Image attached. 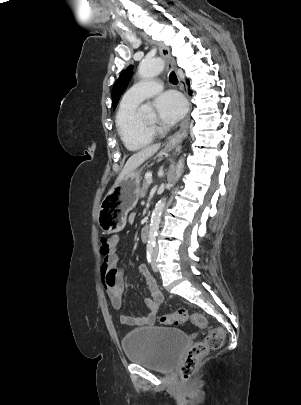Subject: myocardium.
<instances>
[{
    "label": "myocardium",
    "instance_id": "myocardium-1",
    "mask_svg": "<svg viewBox=\"0 0 301 405\" xmlns=\"http://www.w3.org/2000/svg\"><path fill=\"white\" fill-rule=\"evenodd\" d=\"M138 125L142 131L151 135H155L161 132V128L156 123L146 124L141 119L138 118Z\"/></svg>",
    "mask_w": 301,
    "mask_h": 405
}]
</instances>
